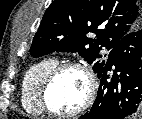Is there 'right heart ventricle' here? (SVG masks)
Segmentation results:
<instances>
[{"label":"right heart ventricle","instance_id":"1","mask_svg":"<svg viewBox=\"0 0 142 119\" xmlns=\"http://www.w3.org/2000/svg\"><path fill=\"white\" fill-rule=\"evenodd\" d=\"M58 64L54 57L44 58L33 64L26 72L21 87L23 108L32 115H42L43 108L39 102V91L45 76Z\"/></svg>","mask_w":142,"mask_h":119}]
</instances>
